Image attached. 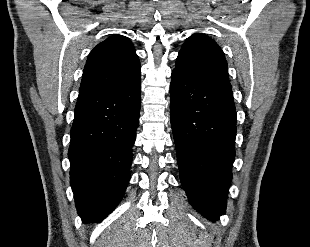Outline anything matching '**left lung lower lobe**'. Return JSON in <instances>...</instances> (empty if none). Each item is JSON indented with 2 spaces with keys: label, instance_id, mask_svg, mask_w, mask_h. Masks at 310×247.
I'll list each match as a JSON object with an SVG mask.
<instances>
[{
  "label": "left lung lower lobe",
  "instance_id": "0a47b994",
  "mask_svg": "<svg viewBox=\"0 0 310 247\" xmlns=\"http://www.w3.org/2000/svg\"><path fill=\"white\" fill-rule=\"evenodd\" d=\"M170 115L182 186L193 207L216 220L225 213L235 158L232 90L173 70Z\"/></svg>",
  "mask_w": 310,
  "mask_h": 247
}]
</instances>
